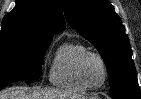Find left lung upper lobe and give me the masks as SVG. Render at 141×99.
<instances>
[{
    "mask_svg": "<svg viewBox=\"0 0 141 99\" xmlns=\"http://www.w3.org/2000/svg\"><path fill=\"white\" fill-rule=\"evenodd\" d=\"M67 21L94 44L109 73L115 98H141L125 27L108 0H63Z\"/></svg>",
    "mask_w": 141,
    "mask_h": 99,
    "instance_id": "left-lung-upper-lobe-1",
    "label": "left lung upper lobe"
}]
</instances>
